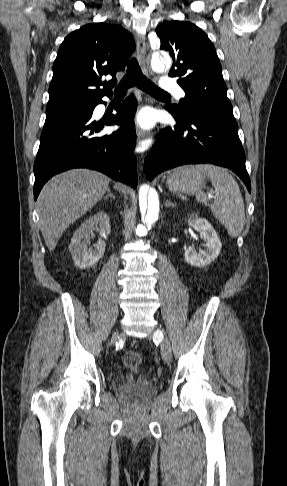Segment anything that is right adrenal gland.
I'll return each instance as SVG.
<instances>
[{
	"label": "right adrenal gland",
	"instance_id": "2a0ac1e0",
	"mask_svg": "<svg viewBox=\"0 0 287 486\" xmlns=\"http://www.w3.org/2000/svg\"><path fill=\"white\" fill-rule=\"evenodd\" d=\"M108 197H111L112 199H115L114 194L111 192L110 188H107V195L104 197V199H108Z\"/></svg>",
	"mask_w": 287,
	"mask_h": 486
}]
</instances>
